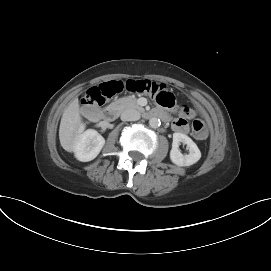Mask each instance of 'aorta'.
Returning a JSON list of instances; mask_svg holds the SVG:
<instances>
[{"label":"aorta","mask_w":271,"mask_h":271,"mask_svg":"<svg viewBox=\"0 0 271 271\" xmlns=\"http://www.w3.org/2000/svg\"><path fill=\"white\" fill-rule=\"evenodd\" d=\"M161 122H160V119L156 118V117H153L149 120V125L152 127V128H158L160 126Z\"/></svg>","instance_id":"aorta-1"}]
</instances>
